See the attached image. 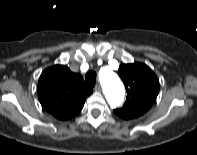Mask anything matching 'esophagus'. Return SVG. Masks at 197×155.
Segmentation results:
<instances>
[{
  "label": "esophagus",
  "mask_w": 197,
  "mask_h": 155,
  "mask_svg": "<svg viewBox=\"0 0 197 155\" xmlns=\"http://www.w3.org/2000/svg\"><path fill=\"white\" fill-rule=\"evenodd\" d=\"M95 91L100 92L101 91V86L98 84L94 88Z\"/></svg>",
  "instance_id": "esophagus-1"
}]
</instances>
